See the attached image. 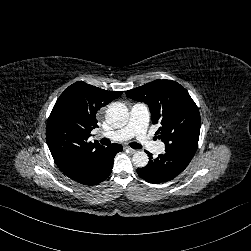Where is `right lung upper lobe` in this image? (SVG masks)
Listing matches in <instances>:
<instances>
[{
	"instance_id": "cb5924a9",
	"label": "right lung upper lobe",
	"mask_w": 251,
	"mask_h": 251,
	"mask_svg": "<svg viewBox=\"0 0 251 251\" xmlns=\"http://www.w3.org/2000/svg\"><path fill=\"white\" fill-rule=\"evenodd\" d=\"M121 94V91H107L79 81L57 99L47 122L46 140L56 165L64 174L105 152V147L88 138L98 127L97 111Z\"/></svg>"
}]
</instances>
